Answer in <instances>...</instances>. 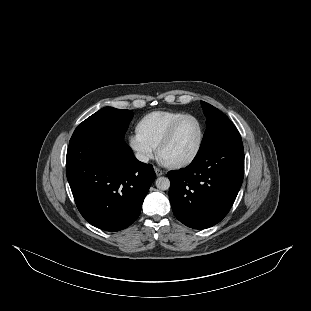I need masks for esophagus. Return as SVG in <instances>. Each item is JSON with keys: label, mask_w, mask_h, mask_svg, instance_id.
<instances>
[{"label": "esophagus", "mask_w": 311, "mask_h": 311, "mask_svg": "<svg viewBox=\"0 0 311 311\" xmlns=\"http://www.w3.org/2000/svg\"><path fill=\"white\" fill-rule=\"evenodd\" d=\"M154 171H155L157 176H162L164 174V172L157 167H154Z\"/></svg>", "instance_id": "obj_1"}]
</instances>
